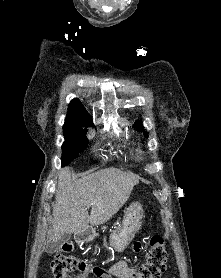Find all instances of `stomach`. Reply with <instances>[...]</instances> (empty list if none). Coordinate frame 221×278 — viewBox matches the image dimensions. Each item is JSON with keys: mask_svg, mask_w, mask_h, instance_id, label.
<instances>
[{"mask_svg": "<svg viewBox=\"0 0 221 278\" xmlns=\"http://www.w3.org/2000/svg\"><path fill=\"white\" fill-rule=\"evenodd\" d=\"M143 213L142 205L139 202H133L126 208L121 229L110 236L111 246L117 252L124 251L133 240L140 228ZM90 240L91 237H86V241Z\"/></svg>", "mask_w": 221, "mask_h": 278, "instance_id": "0dacf381", "label": "stomach"}]
</instances>
